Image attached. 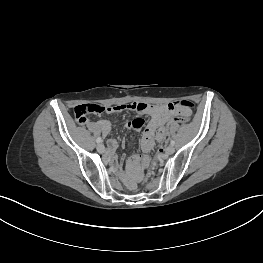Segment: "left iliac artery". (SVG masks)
Instances as JSON below:
<instances>
[{"label": "left iliac artery", "instance_id": "obj_1", "mask_svg": "<svg viewBox=\"0 0 263 263\" xmlns=\"http://www.w3.org/2000/svg\"><path fill=\"white\" fill-rule=\"evenodd\" d=\"M170 144H171L172 146H174V145H175V141H174V140H171Z\"/></svg>", "mask_w": 263, "mask_h": 263}]
</instances>
